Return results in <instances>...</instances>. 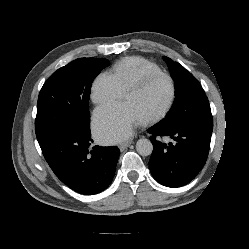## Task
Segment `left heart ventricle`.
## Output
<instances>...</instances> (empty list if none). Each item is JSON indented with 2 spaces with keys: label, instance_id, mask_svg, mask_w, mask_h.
<instances>
[{
  "label": "left heart ventricle",
  "instance_id": "obj_1",
  "mask_svg": "<svg viewBox=\"0 0 249 249\" xmlns=\"http://www.w3.org/2000/svg\"><path fill=\"white\" fill-rule=\"evenodd\" d=\"M171 85L165 78L151 81L142 90L128 94L124 102L129 104L137 115L143 119L159 112L168 102Z\"/></svg>",
  "mask_w": 249,
  "mask_h": 249
}]
</instances>
